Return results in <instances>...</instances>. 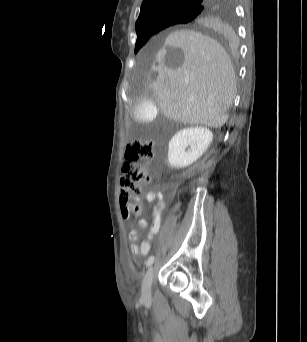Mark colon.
Here are the masks:
<instances>
[{
  "mask_svg": "<svg viewBox=\"0 0 307 342\" xmlns=\"http://www.w3.org/2000/svg\"><path fill=\"white\" fill-rule=\"evenodd\" d=\"M154 150V143L149 139L135 140L126 147L125 166L119 179V202L126 218L132 215L135 206L132 194L139 193L151 181L145 164L152 159ZM137 160L141 163L136 164Z\"/></svg>",
  "mask_w": 307,
  "mask_h": 342,
  "instance_id": "1",
  "label": "colon"
}]
</instances>
